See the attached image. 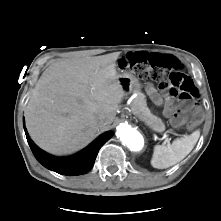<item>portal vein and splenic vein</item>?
Masks as SVG:
<instances>
[{"instance_id":"portal-vein-and-splenic-vein-1","label":"portal vein and splenic vein","mask_w":221,"mask_h":221,"mask_svg":"<svg viewBox=\"0 0 221 221\" xmlns=\"http://www.w3.org/2000/svg\"><path fill=\"white\" fill-rule=\"evenodd\" d=\"M163 137L165 138V143L170 144V139H168V135L164 133Z\"/></svg>"}]
</instances>
